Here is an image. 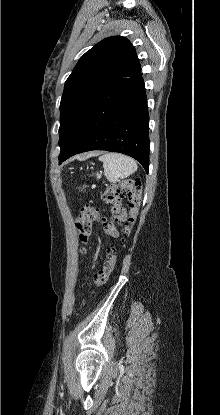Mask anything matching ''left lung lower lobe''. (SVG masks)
Here are the masks:
<instances>
[{
    "instance_id": "1",
    "label": "left lung lower lobe",
    "mask_w": 220,
    "mask_h": 415,
    "mask_svg": "<svg viewBox=\"0 0 220 415\" xmlns=\"http://www.w3.org/2000/svg\"><path fill=\"white\" fill-rule=\"evenodd\" d=\"M142 73L114 80L85 116L59 164L90 150L119 152L149 170V115Z\"/></svg>"
}]
</instances>
